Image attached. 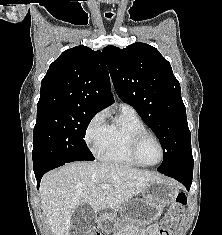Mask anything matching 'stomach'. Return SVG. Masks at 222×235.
Listing matches in <instances>:
<instances>
[{"instance_id":"obj_1","label":"stomach","mask_w":222,"mask_h":235,"mask_svg":"<svg viewBox=\"0 0 222 235\" xmlns=\"http://www.w3.org/2000/svg\"><path fill=\"white\" fill-rule=\"evenodd\" d=\"M178 193L176 182L157 180L141 192L140 198L130 199L101 215L97 220L98 227L107 233L120 231L123 235H148V226L160 216L165 206L176 200ZM124 225L129 227L124 228Z\"/></svg>"}]
</instances>
